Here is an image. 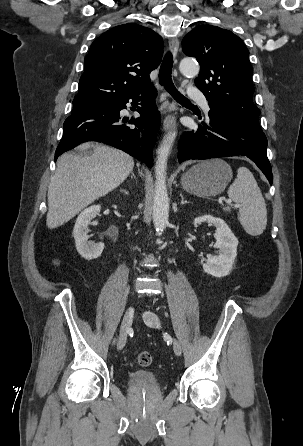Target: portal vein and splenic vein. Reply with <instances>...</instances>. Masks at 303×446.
Masks as SVG:
<instances>
[{"label": "portal vein and splenic vein", "instance_id": "obj_1", "mask_svg": "<svg viewBox=\"0 0 303 446\" xmlns=\"http://www.w3.org/2000/svg\"><path fill=\"white\" fill-rule=\"evenodd\" d=\"M228 202H230V201H228ZM234 207H235V208H238V205H235Z\"/></svg>", "mask_w": 303, "mask_h": 446}]
</instances>
